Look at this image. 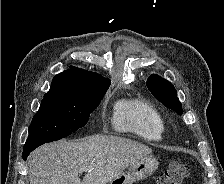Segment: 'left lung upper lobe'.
I'll use <instances>...</instances> for the list:
<instances>
[{"label":"left lung upper lobe","mask_w":224,"mask_h":184,"mask_svg":"<svg viewBox=\"0 0 224 184\" xmlns=\"http://www.w3.org/2000/svg\"><path fill=\"white\" fill-rule=\"evenodd\" d=\"M147 87L153 96L162 102L163 105L182 115L183 109L177 97L176 89L169 81L157 75H151L147 80Z\"/></svg>","instance_id":"5c2ea615"}]
</instances>
